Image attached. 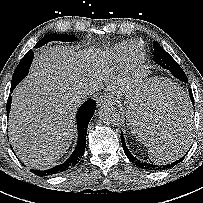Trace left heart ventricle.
Instances as JSON below:
<instances>
[{
  "label": "left heart ventricle",
  "instance_id": "left-heart-ventricle-1",
  "mask_svg": "<svg viewBox=\"0 0 203 203\" xmlns=\"http://www.w3.org/2000/svg\"><path fill=\"white\" fill-rule=\"evenodd\" d=\"M136 52H137V53H139V52H140V49H139V47H137V48H136Z\"/></svg>",
  "mask_w": 203,
  "mask_h": 203
}]
</instances>
